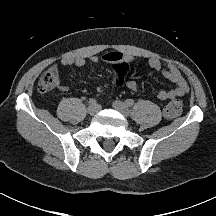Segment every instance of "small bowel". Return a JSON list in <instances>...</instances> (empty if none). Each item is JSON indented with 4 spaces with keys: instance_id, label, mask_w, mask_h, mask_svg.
Returning a JSON list of instances; mask_svg holds the SVG:
<instances>
[{
    "instance_id": "c3829d8e",
    "label": "small bowel",
    "mask_w": 216,
    "mask_h": 216,
    "mask_svg": "<svg viewBox=\"0 0 216 216\" xmlns=\"http://www.w3.org/2000/svg\"><path fill=\"white\" fill-rule=\"evenodd\" d=\"M135 60V57L131 54L124 53L121 51H110L101 56H94L91 58V61L94 63H109V64H127ZM63 66H72V67H82L86 64L84 58H71L66 57L61 60ZM148 64L150 67L155 69L157 72L161 73L164 77L174 83L175 87L170 90H160L156 93V97L161 101H166L175 97H182L186 95L189 91L188 84L184 77L182 76L179 69L170 63H165L157 58L150 57L148 59ZM57 69L56 67H51ZM50 69V68H49ZM127 88L135 91L138 88V82L136 80H129L127 82ZM61 91H67L68 88L62 86L60 87Z\"/></svg>"
}]
</instances>
